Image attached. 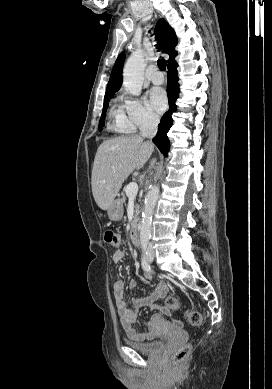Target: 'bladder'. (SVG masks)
<instances>
[{
  "instance_id": "bladder-1",
  "label": "bladder",
  "mask_w": 272,
  "mask_h": 389,
  "mask_svg": "<svg viewBox=\"0 0 272 389\" xmlns=\"http://www.w3.org/2000/svg\"><path fill=\"white\" fill-rule=\"evenodd\" d=\"M127 344L146 355H156L164 351L166 342L164 340H156L151 342H137L133 340H127Z\"/></svg>"
}]
</instances>
